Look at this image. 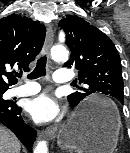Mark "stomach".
<instances>
[{
    "label": "stomach",
    "mask_w": 130,
    "mask_h": 153,
    "mask_svg": "<svg viewBox=\"0 0 130 153\" xmlns=\"http://www.w3.org/2000/svg\"><path fill=\"white\" fill-rule=\"evenodd\" d=\"M86 108H91L93 114L83 117L82 111ZM120 128V114L113 101L93 97L61 127L57 143L64 150L77 153H113Z\"/></svg>",
    "instance_id": "1"
}]
</instances>
